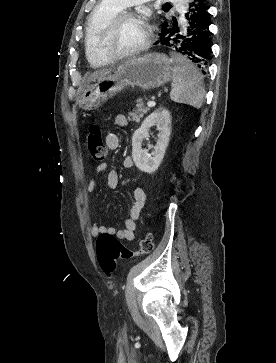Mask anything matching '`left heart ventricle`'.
I'll use <instances>...</instances> for the list:
<instances>
[{"label": "left heart ventricle", "mask_w": 276, "mask_h": 363, "mask_svg": "<svg viewBox=\"0 0 276 363\" xmlns=\"http://www.w3.org/2000/svg\"><path fill=\"white\" fill-rule=\"evenodd\" d=\"M146 36V26L139 18L123 21L109 38L110 48L115 52H125L136 48Z\"/></svg>", "instance_id": "1"}]
</instances>
